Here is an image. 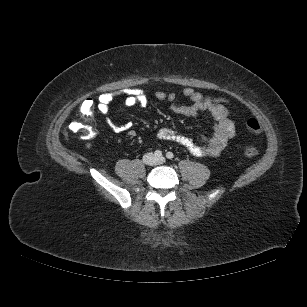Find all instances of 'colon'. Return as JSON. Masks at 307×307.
<instances>
[{
  "label": "colon",
  "instance_id": "1",
  "mask_svg": "<svg viewBox=\"0 0 307 307\" xmlns=\"http://www.w3.org/2000/svg\"><path fill=\"white\" fill-rule=\"evenodd\" d=\"M213 103L224 104L226 100L224 98H208ZM95 112V102L92 99H87L84 101L80 108V117L78 120L72 122L71 129L75 132H81L83 136L87 139H92L96 135V128L92 122V118ZM248 129L255 133H261V125L259 121L255 118H250L247 121ZM244 154L248 157H254L259 154V150L254 146H246L244 148Z\"/></svg>",
  "mask_w": 307,
  "mask_h": 307
}]
</instances>
